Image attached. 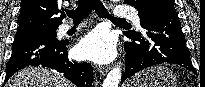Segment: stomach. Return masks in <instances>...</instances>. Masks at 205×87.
<instances>
[{"label":"stomach","mask_w":205,"mask_h":87,"mask_svg":"<svg viewBox=\"0 0 205 87\" xmlns=\"http://www.w3.org/2000/svg\"><path fill=\"white\" fill-rule=\"evenodd\" d=\"M126 87H177V78L165 66H154L136 74Z\"/></svg>","instance_id":"stomach-1"}]
</instances>
